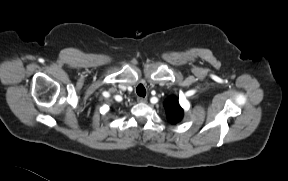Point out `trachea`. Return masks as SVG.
Listing matches in <instances>:
<instances>
[{
    "mask_svg": "<svg viewBox=\"0 0 288 181\" xmlns=\"http://www.w3.org/2000/svg\"><path fill=\"white\" fill-rule=\"evenodd\" d=\"M136 92L140 97H145L146 89L142 84H139L136 88Z\"/></svg>",
    "mask_w": 288,
    "mask_h": 181,
    "instance_id": "3493384b",
    "label": "trachea"
}]
</instances>
